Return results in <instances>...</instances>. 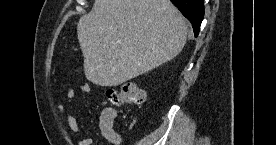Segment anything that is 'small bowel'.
Listing matches in <instances>:
<instances>
[{
	"mask_svg": "<svg viewBox=\"0 0 276 145\" xmlns=\"http://www.w3.org/2000/svg\"><path fill=\"white\" fill-rule=\"evenodd\" d=\"M79 92L82 94H87L90 92V86L88 83H83L79 86ZM76 92L75 90H68L66 95L60 99L57 104V111L59 116L64 120L66 126L74 131L80 132L81 128L78 123L76 116L74 115L72 109L69 107L66 109L65 104H72L75 100ZM115 116L112 110H104L99 119V127L102 136L112 145H120L122 143L121 136L114 129ZM79 145H93V139L91 137H86L79 142Z\"/></svg>",
	"mask_w": 276,
	"mask_h": 145,
	"instance_id": "small-bowel-1",
	"label": "small bowel"
}]
</instances>
